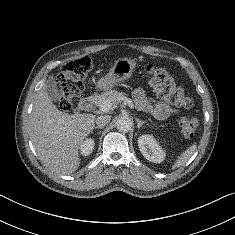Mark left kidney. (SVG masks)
Returning a JSON list of instances; mask_svg holds the SVG:
<instances>
[{
    "mask_svg": "<svg viewBox=\"0 0 235 235\" xmlns=\"http://www.w3.org/2000/svg\"><path fill=\"white\" fill-rule=\"evenodd\" d=\"M138 147L142 155L150 162L161 163L165 159L164 150L152 135L145 134L139 136Z\"/></svg>",
    "mask_w": 235,
    "mask_h": 235,
    "instance_id": "1",
    "label": "left kidney"
}]
</instances>
